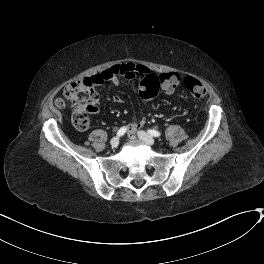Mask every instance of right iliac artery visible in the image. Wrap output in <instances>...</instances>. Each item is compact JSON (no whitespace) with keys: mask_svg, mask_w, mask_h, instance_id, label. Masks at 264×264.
<instances>
[{"mask_svg":"<svg viewBox=\"0 0 264 264\" xmlns=\"http://www.w3.org/2000/svg\"><path fill=\"white\" fill-rule=\"evenodd\" d=\"M126 131H127V128L125 126L124 127H121L118 130L117 135L120 137V136L124 135Z\"/></svg>","mask_w":264,"mask_h":264,"instance_id":"1","label":"right iliac artery"}]
</instances>
